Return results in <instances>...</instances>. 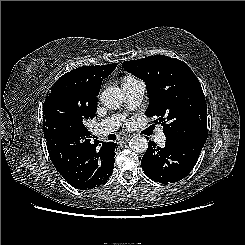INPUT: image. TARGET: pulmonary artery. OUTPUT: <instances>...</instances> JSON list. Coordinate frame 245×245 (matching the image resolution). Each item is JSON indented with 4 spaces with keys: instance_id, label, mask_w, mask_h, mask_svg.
Segmentation results:
<instances>
[{
    "instance_id": "pulmonary-artery-1",
    "label": "pulmonary artery",
    "mask_w": 245,
    "mask_h": 245,
    "mask_svg": "<svg viewBox=\"0 0 245 245\" xmlns=\"http://www.w3.org/2000/svg\"><path fill=\"white\" fill-rule=\"evenodd\" d=\"M122 89L124 92V100L128 108L133 109L141 104L145 92V84L143 81L136 79L131 82L122 83ZM121 121V115L108 117L98 124L95 132L100 136L111 134L118 129ZM156 140L159 143L164 142L165 135L162 129L156 134Z\"/></svg>"
}]
</instances>
